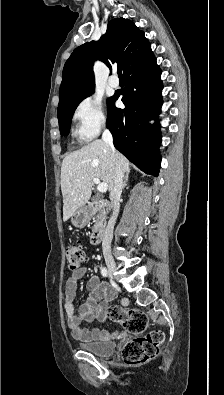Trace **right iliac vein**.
Returning <instances> with one entry per match:
<instances>
[{"mask_svg":"<svg viewBox=\"0 0 224 395\" xmlns=\"http://www.w3.org/2000/svg\"><path fill=\"white\" fill-rule=\"evenodd\" d=\"M105 261L108 269V273L113 277L116 273V264L110 255L105 256Z\"/></svg>","mask_w":224,"mask_h":395,"instance_id":"1","label":"right iliac vein"}]
</instances>
